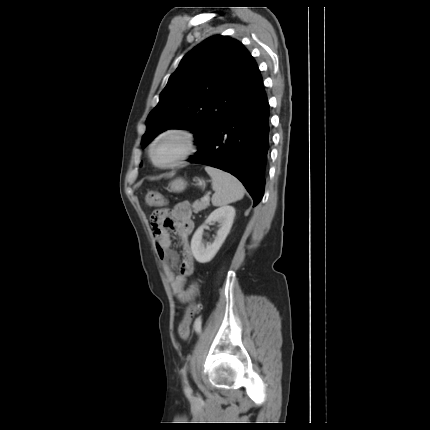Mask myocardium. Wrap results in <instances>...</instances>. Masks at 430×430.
Here are the masks:
<instances>
[{"label": "myocardium", "instance_id": "1", "mask_svg": "<svg viewBox=\"0 0 430 430\" xmlns=\"http://www.w3.org/2000/svg\"><path fill=\"white\" fill-rule=\"evenodd\" d=\"M176 135L183 139L184 142V148L180 154H178L176 157H174L172 160H170L167 163H160L157 161L155 156V150L158 146V144L166 137ZM196 151V139L194 134L184 128L179 127H173L168 128L166 130H163L159 134H157L152 141L150 142L147 150L148 158L152 162V164L158 168L161 169H169L173 168L181 163H183L185 160L190 158Z\"/></svg>", "mask_w": 430, "mask_h": 430}]
</instances>
